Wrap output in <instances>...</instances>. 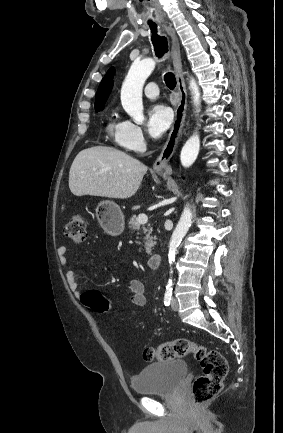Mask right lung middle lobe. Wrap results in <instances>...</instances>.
<instances>
[{
	"instance_id": "obj_1",
	"label": "right lung middle lobe",
	"mask_w": 283,
	"mask_h": 433,
	"mask_svg": "<svg viewBox=\"0 0 283 433\" xmlns=\"http://www.w3.org/2000/svg\"><path fill=\"white\" fill-rule=\"evenodd\" d=\"M103 108L104 107L97 108L96 111H101V110H103Z\"/></svg>"
}]
</instances>
